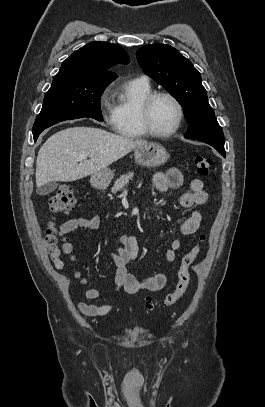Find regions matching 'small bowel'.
<instances>
[{"instance_id":"1","label":"small bowel","mask_w":265,"mask_h":407,"mask_svg":"<svg viewBox=\"0 0 265 407\" xmlns=\"http://www.w3.org/2000/svg\"><path fill=\"white\" fill-rule=\"evenodd\" d=\"M153 185L159 192H166L171 188H179L183 184V176L176 168H171L165 173H156L153 178ZM209 196L204 190V183L201 179H193L188 186V189L181 195L180 203L183 208L191 209L195 206H203L207 204ZM202 221L201 212L197 209L179 224V232L183 236L194 234L200 227ZM101 226L99 216L90 218L78 217L64 222L59 228V236H64L77 229L97 230ZM182 246V241L175 239L171 241L170 248L164 254V262L170 264L176 258V251ZM138 243L133 235H122L117 239L116 250L113 253V260L116 265L115 275V291H124L126 294H136L144 291L161 290L167 281L164 273H156L155 275L138 280L129 271L128 263L138 257ZM56 269L61 270L64 267L63 261L58 258L53 261ZM73 277L82 285L85 286L84 298L88 301L100 300L103 296L102 292L97 288L88 286V280L81 274L77 268L72 269ZM118 303H89L81 301L78 303V309L84 316L97 317L105 316L119 308Z\"/></svg>"}]
</instances>
